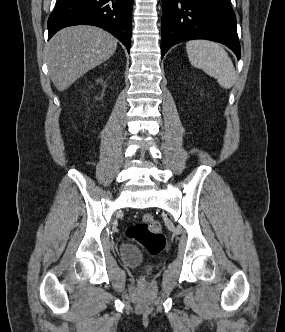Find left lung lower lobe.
<instances>
[{
    "label": "left lung lower lobe",
    "instance_id": "0a47b994",
    "mask_svg": "<svg viewBox=\"0 0 285 332\" xmlns=\"http://www.w3.org/2000/svg\"><path fill=\"white\" fill-rule=\"evenodd\" d=\"M191 39L222 43L240 59L230 0H162L161 58L173 45Z\"/></svg>",
    "mask_w": 285,
    "mask_h": 332
}]
</instances>
